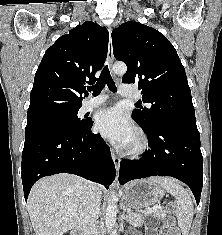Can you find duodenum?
Masks as SVG:
<instances>
[{"mask_svg": "<svg viewBox=\"0 0 222 235\" xmlns=\"http://www.w3.org/2000/svg\"><path fill=\"white\" fill-rule=\"evenodd\" d=\"M71 235H84L81 226H76V227L72 230Z\"/></svg>", "mask_w": 222, "mask_h": 235, "instance_id": "1", "label": "duodenum"}]
</instances>
